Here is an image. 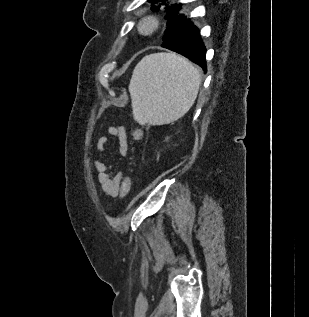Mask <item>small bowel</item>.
I'll use <instances>...</instances> for the list:
<instances>
[{"label":"small bowel","instance_id":"1","mask_svg":"<svg viewBox=\"0 0 309 317\" xmlns=\"http://www.w3.org/2000/svg\"><path fill=\"white\" fill-rule=\"evenodd\" d=\"M109 134L114 136L118 142V154L120 157L126 156L129 145L125 129L122 126H109ZM109 142L107 137H101L98 141V149L105 154L106 146ZM93 168L97 171V183L101 192L111 198H117L122 195L121 186L124 175L120 171H112V166L108 163L95 160Z\"/></svg>","mask_w":309,"mask_h":317}]
</instances>
